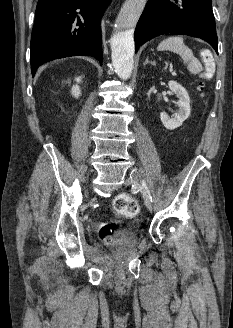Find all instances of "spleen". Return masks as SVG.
Masks as SVG:
<instances>
[{"label": "spleen", "instance_id": "spleen-1", "mask_svg": "<svg viewBox=\"0 0 233 328\" xmlns=\"http://www.w3.org/2000/svg\"><path fill=\"white\" fill-rule=\"evenodd\" d=\"M158 51H170L180 55L187 65V69L191 74H198L202 71L200 61L194 57L192 50L184 44V40L180 36H172L164 39L158 45Z\"/></svg>", "mask_w": 233, "mask_h": 328}]
</instances>
